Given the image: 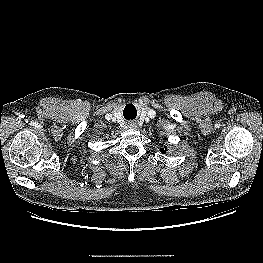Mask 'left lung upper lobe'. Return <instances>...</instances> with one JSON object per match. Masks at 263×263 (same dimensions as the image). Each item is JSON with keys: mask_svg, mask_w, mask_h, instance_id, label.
Segmentation results:
<instances>
[{"mask_svg": "<svg viewBox=\"0 0 263 263\" xmlns=\"http://www.w3.org/2000/svg\"><path fill=\"white\" fill-rule=\"evenodd\" d=\"M161 151L163 152V153H165L166 152V148L164 149V148H161Z\"/></svg>", "mask_w": 263, "mask_h": 263, "instance_id": "1", "label": "left lung upper lobe"}]
</instances>
